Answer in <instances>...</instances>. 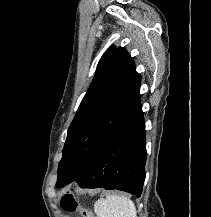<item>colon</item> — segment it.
Returning <instances> with one entry per match:
<instances>
[{
	"instance_id": "colon-1",
	"label": "colon",
	"mask_w": 211,
	"mask_h": 217,
	"mask_svg": "<svg viewBox=\"0 0 211 217\" xmlns=\"http://www.w3.org/2000/svg\"><path fill=\"white\" fill-rule=\"evenodd\" d=\"M61 207L64 211L68 213H74L79 211L82 217H94V215H92L88 211L81 209L74 196L70 193H67L62 197Z\"/></svg>"
}]
</instances>
